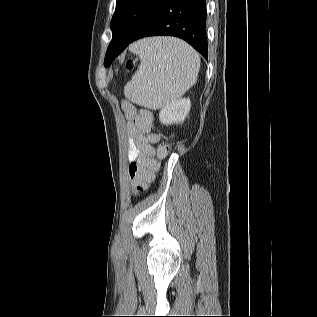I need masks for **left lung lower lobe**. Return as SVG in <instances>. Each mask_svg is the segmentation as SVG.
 <instances>
[{"label":"left lung lower lobe","mask_w":317,"mask_h":317,"mask_svg":"<svg viewBox=\"0 0 317 317\" xmlns=\"http://www.w3.org/2000/svg\"><path fill=\"white\" fill-rule=\"evenodd\" d=\"M158 35L181 38L208 60L206 0H164L129 42H111L107 53L113 60L130 43Z\"/></svg>","instance_id":"left-lung-lower-lobe-1"}]
</instances>
